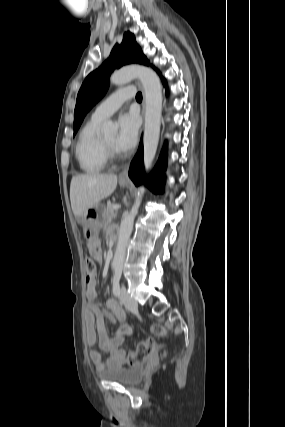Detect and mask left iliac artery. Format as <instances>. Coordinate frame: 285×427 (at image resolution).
Listing matches in <instances>:
<instances>
[{"mask_svg":"<svg viewBox=\"0 0 285 427\" xmlns=\"http://www.w3.org/2000/svg\"><path fill=\"white\" fill-rule=\"evenodd\" d=\"M122 275V270L120 268L115 269L114 278H113V293L115 296L120 294V279Z\"/></svg>","mask_w":285,"mask_h":427,"instance_id":"1","label":"left iliac artery"}]
</instances>
